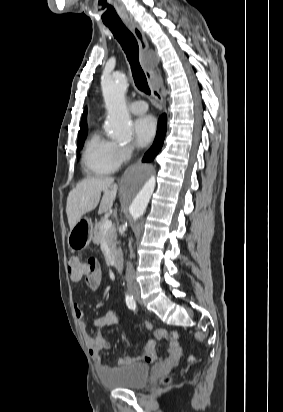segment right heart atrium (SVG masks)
<instances>
[{"label": "right heart atrium", "instance_id": "obj_1", "mask_svg": "<svg viewBox=\"0 0 283 412\" xmlns=\"http://www.w3.org/2000/svg\"><path fill=\"white\" fill-rule=\"evenodd\" d=\"M135 147L132 144L118 145V156L122 162L128 161L134 154Z\"/></svg>", "mask_w": 283, "mask_h": 412}]
</instances>
